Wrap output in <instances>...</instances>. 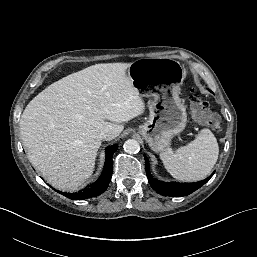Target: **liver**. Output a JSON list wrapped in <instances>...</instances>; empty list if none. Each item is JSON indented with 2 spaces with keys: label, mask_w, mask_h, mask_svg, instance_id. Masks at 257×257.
<instances>
[{
  "label": "liver",
  "mask_w": 257,
  "mask_h": 257,
  "mask_svg": "<svg viewBox=\"0 0 257 257\" xmlns=\"http://www.w3.org/2000/svg\"><path fill=\"white\" fill-rule=\"evenodd\" d=\"M130 63L89 66L49 85L26 106L20 133L31 164L53 187L75 191L92 175L99 134L144 112L126 70ZM108 120V121H105Z\"/></svg>",
  "instance_id": "1"
}]
</instances>
